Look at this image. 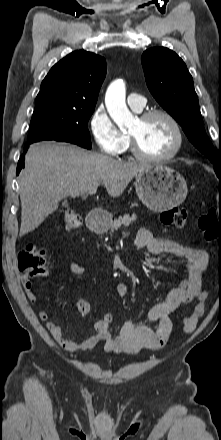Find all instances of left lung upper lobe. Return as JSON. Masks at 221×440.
Instances as JSON below:
<instances>
[{
	"instance_id": "1",
	"label": "left lung upper lobe",
	"mask_w": 221,
	"mask_h": 440,
	"mask_svg": "<svg viewBox=\"0 0 221 440\" xmlns=\"http://www.w3.org/2000/svg\"><path fill=\"white\" fill-rule=\"evenodd\" d=\"M141 62L151 94L219 173L221 157L205 132L193 79L183 60L168 48L154 47L142 54Z\"/></svg>"
}]
</instances>
